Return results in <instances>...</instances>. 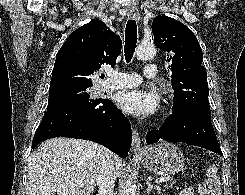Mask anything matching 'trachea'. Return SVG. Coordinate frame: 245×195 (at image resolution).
<instances>
[{
	"instance_id": "3493384b",
	"label": "trachea",
	"mask_w": 245,
	"mask_h": 195,
	"mask_svg": "<svg viewBox=\"0 0 245 195\" xmlns=\"http://www.w3.org/2000/svg\"><path fill=\"white\" fill-rule=\"evenodd\" d=\"M137 44V25L135 20H129L125 30V60L130 62Z\"/></svg>"
}]
</instances>
